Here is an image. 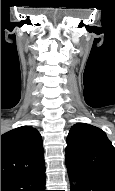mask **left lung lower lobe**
<instances>
[{
    "instance_id": "0a47b994",
    "label": "left lung lower lobe",
    "mask_w": 115,
    "mask_h": 191,
    "mask_svg": "<svg viewBox=\"0 0 115 191\" xmlns=\"http://www.w3.org/2000/svg\"><path fill=\"white\" fill-rule=\"evenodd\" d=\"M68 168V167H67ZM70 179L75 176L77 185L71 191H115V183L92 175L80 174L68 168Z\"/></svg>"
}]
</instances>
